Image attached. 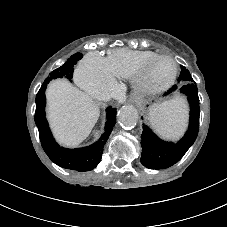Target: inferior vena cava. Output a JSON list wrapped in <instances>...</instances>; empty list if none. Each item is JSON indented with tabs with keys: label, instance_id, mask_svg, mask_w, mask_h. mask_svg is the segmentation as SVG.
<instances>
[{
	"label": "inferior vena cava",
	"instance_id": "1",
	"mask_svg": "<svg viewBox=\"0 0 227 227\" xmlns=\"http://www.w3.org/2000/svg\"><path fill=\"white\" fill-rule=\"evenodd\" d=\"M99 99H101V100H108V97H106V96H99Z\"/></svg>",
	"mask_w": 227,
	"mask_h": 227
}]
</instances>
